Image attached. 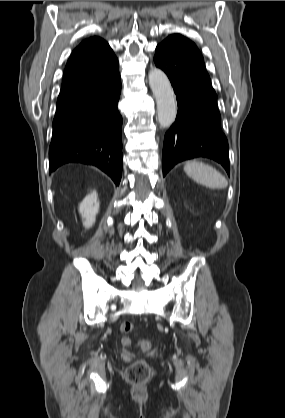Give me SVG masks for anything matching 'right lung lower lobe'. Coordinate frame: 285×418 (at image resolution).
<instances>
[{"label": "right lung lower lobe", "instance_id": "obj_1", "mask_svg": "<svg viewBox=\"0 0 285 418\" xmlns=\"http://www.w3.org/2000/svg\"><path fill=\"white\" fill-rule=\"evenodd\" d=\"M119 72L97 87L58 104L49 147V169L70 163L94 165L119 185L122 175V117Z\"/></svg>", "mask_w": 285, "mask_h": 418}]
</instances>
